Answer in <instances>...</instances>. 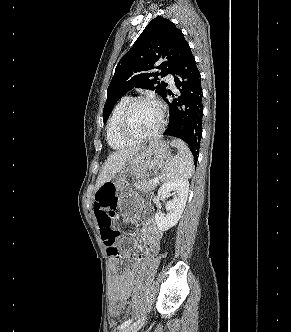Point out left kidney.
Wrapping results in <instances>:
<instances>
[{"instance_id":"1","label":"left kidney","mask_w":291,"mask_h":332,"mask_svg":"<svg viewBox=\"0 0 291 332\" xmlns=\"http://www.w3.org/2000/svg\"><path fill=\"white\" fill-rule=\"evenodd\" d=\"M188 191L189 182L187 180L169 181L159 188V197L172 195V199L166 203L167 215L159 212L155 214V222L160 231H167L177 224L185 208Z\"/></svg>"}]
</instances>
